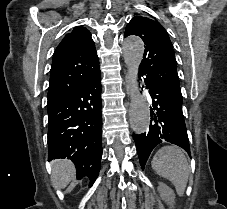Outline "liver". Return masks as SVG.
Returning <instances> with one entry per match:
<instances>
[{
    "label": "liver",
    "mask_w": 227,
    "mask_h": 209,
    "mask_svg": "<svg viewBox=\"0 0 227 209\" xmlns=\"http://www.w3.org/2000/svg\"><path fill=\"white\" fill-rule=\"evenodd\" d=\"M75 167L71 161H52V183L56 189H65L75 175Z\"/></svg>",
    "instance_id": "6515ba94"
}]
</instances>
